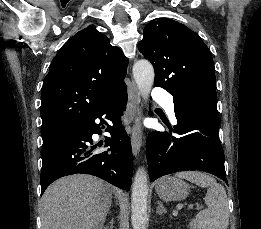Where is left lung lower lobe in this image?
I'll list each match as a JSON object with an SVG mask.
<instances>
[{
    "label": "left lung lower lobe",
    "mask_w": 261,
    "mask_h": 229,
    "mask_svg": "<svg viewBox=\"0 0 261 229\" xmlns=\"http://www.w3.org/2000/svg\"><path fill=\"white\" fill-rule=\"evenodd\" d=\"M174 112L178 123L173 132L177 136L152 131L147 138L151 180L189 170L205 171L225 180L218 112L197 104L174 105Z\"/></svg>",
    "instance_id": "1"
}]
</instances>
